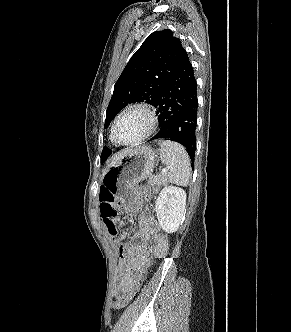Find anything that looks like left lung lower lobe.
Wrapping results in <instances>:
<instances>
[{"label": "left lung lower lobe", "instance_id": "1", "mask_svg": "<svg viewBox=\"0 0 291 332\" xmlns=\"http://www.w3.org/2000/svg\"><path fill=\"white\" fill-rule=\"evenodd\" d=\"M158 108L160 131L151 139L169 138L186 147L194 162L197 127V83L187 52L160 93Z\"/></svg>", "mask_w": 291, "mask_h": 332}]
</instances>
